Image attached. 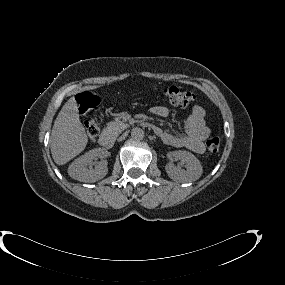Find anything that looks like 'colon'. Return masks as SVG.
I'll return each instance as SVG.
<instances>
[{"label":"colon","mask_w":285,"mask_h":285,"mask_svg":"<svg viewBox=\"0 0 285 285\" xmlns=\"http://www.w3.org/2000/svg\"><path fill=\"white\" fill-rule=\"evenodd\" d=\"M161 93L168 102L179 106H188L195 100V95L191 91L182 90L176 86L165 87L161 90ZM76 101L80 113L86 116L84 125L90 139L93 140L98 135L100 128L97 119L91 116V112L98 109L100 99L90 92H83L76 97ZM220 144L219 137H212L206 142L207 149L211 153L218 152Z\"/></svg>","instance_id":"5ec220e1"}]
</instances>
